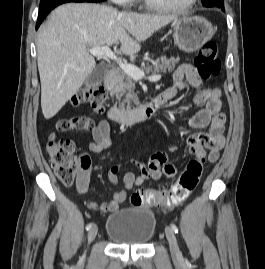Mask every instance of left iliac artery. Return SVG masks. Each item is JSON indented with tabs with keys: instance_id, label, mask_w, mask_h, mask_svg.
Returning <instances> with one entry per match:
<instances>
[{
	"instance_id": "44dca946",
	"label": "left iliac artery",
	"mask_w": 265,
	"mask_h": 269,
	"mask_svg": "<svg viewBox=\"0 0 265 269\" xmlns=\"http://www.w3.org/2000/svg\"><path fill=\"white\" fill-rule=\"evenodd\" d=\"M171 228L175 233H178V228L175 224H171Z\"/></svg>"
}]
</instances>
